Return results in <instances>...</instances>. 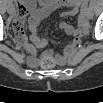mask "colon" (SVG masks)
I'll use <instances>...</instances> for the list:
<instances>
[{
	"instance_id": "colon-1",
	"label": "colon",
	"mask_w": 103,
	"mask_h": 103,
	"mask_svg": "<svg viewBox=\"0 0 103 103\" xmlns=\"http://www.w3.org/2000/svg\"><path fill=\"white\" fill-rule=\"evenodd\" d=\"M20 23H23V20H19ZM55 64V60L52 56H47L43 59L41 66L43 68H51Z\"/></svg>"
}]
</instances>
